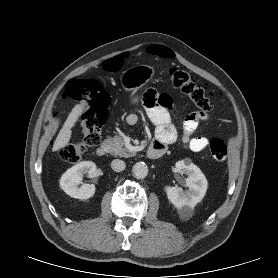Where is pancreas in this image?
<instances>
[{"mask_svg": "<svg viewBox=\"0 0 278 278\" xmlns=\"http://www.w3.org/2000/svg\"><path fill=\"white\" fill-rule=\"evenodd\" d=\"M105 144L107 145L108 152L111 155L124 157V158H128V157L135 155L134 152L128 150L124 146V142H123L122 138L119 136H115L113 138L106 139Z\"/></svg>", "mask_w": 278, "mask_h": 278, "instance_id": "obj_1", "label": "pancreas"}]
</instances>
